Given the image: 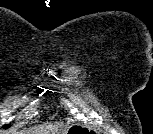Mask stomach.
Wrapping results in <instances>:
<instances>
[{"instance_id": "obj_1", "label": "stomach", "mask_w": 153, "mask_h": 134, "mask_svg": "<svg viewBox=\"0 0 153 134\" xmlns=\"http://www.w3.org/2000/svg\"><path fill=\"white\" fill-rule=\"evenodd\" d=\"M93 132L90 128L83 126L81 124L71 125L66 134H87Z\"/></svg>"}]
</instances>
